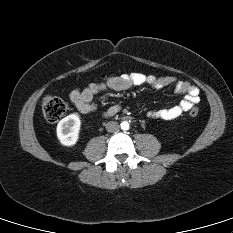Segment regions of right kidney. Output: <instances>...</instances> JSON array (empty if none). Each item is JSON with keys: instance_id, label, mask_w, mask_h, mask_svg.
Here are the masks:
<instances>
[{"instance_id": "1", "label": "right kidney", "mask_w": 233, "mask_h": 233, "mask_svg": "<svg viewBox=\"0 0 233 233\" xmlns=\"http://www.w3.org/2000/svg\"><path fill=\"white\" fill-rule=\"evenodd\" d=\"M81 121L78 113L63 118L57 125V137L64 146H73L79 139Z\"/></svg>"}]
</instances>
